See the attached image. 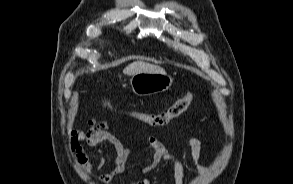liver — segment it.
Here are the masks:
<instances>
[{
    "mask_svg": "<svg viewBox=\"0 0 293 184\" xmlns=\"http://www.w3.org/2000/svg\"><path fill=\"white\" fill-rule=\"evenodd\" d=\"M141 72H149V73H165V70L161 68L160 66L153 65L144 61H135L131 64H129L125 69L123 70V73L126 75H134L136 73Z\"/></svg>",
    "mask_w": 293,
    "mask_h": 184,
    "instance_id": "obj_1",
    "label": "liver"
}]
</instances>
